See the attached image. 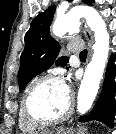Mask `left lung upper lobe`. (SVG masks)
<instances>
[{"label": "left lung upper lobe", "instance_id": "1", "mask_svg": "<svg viewBox=\"0 0 116 134\" xmlns=\"http://www.w3.org/2000/svg\"><path fill=\"white\" fill-rule=\"evenodd\" d=\"M71 1V0H69ZM92 5L93 0H83ZM55 13V6L49 7L36 16L25 34V48L20 58L18 83L20 90L38 74L47 70L54 62L57 66H66L68 57L58 58L60 45L50 36V25Z\"/></svg>", "mask_w": 116, "mask_h": 134}]
</instances>
